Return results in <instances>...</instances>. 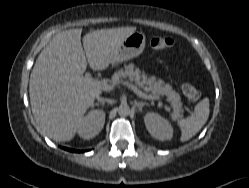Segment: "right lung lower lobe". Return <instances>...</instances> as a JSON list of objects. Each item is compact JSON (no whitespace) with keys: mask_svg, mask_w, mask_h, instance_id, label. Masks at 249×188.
<instances>
[{"mask_svg":"<svg viewBox=\"0 0 249 188\" xmlns=\"http://www.w3.org/2000/svg\"><path fill=\"white\" fill-rule=\"evenodd\" d=\"M65 150H68V151H75V150H72V149H68V148H65Z\"/></svg>","mask_w":249,"mask_h":188,"instance_id":"obj_1","label":"right lung lower lobe"}]
</instances>
